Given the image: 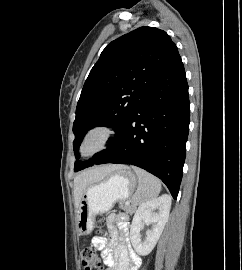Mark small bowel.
<instances>
[{
  "instance_id": "obj_1",
  "label": "small bowel",
  "mask_w": 242,
  "mask_h": 270,
  "mask_svg": "<svg viewBox=\"0 0 242 270\" xmlns=\"http://www.w3.org/2000/svg\"><path fill=\"white\" fill-rule=\"evenodd\" d=\"M129 217L125 213L109 214L107 217L108 240L95 236L94 248L101 252L106 270H138L141 258L129 243Z\"/></svg>"
}]
</instances>
